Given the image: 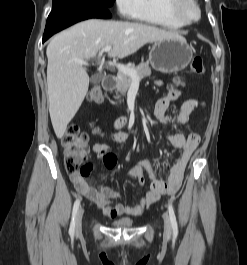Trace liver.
Here are the masks:
<instances>
[{
  "instance_id": "liver-1",
  "label": "liver",
  "mask_w": 247,
  "mask_h": 265,
  "mask_svg": "<svg viewBox=\"0 0 247 265\" xmlns=\"http://www.w3.org/2000/svg\"><path fill=\"white\" fill-rule=\"evenodd\" d=\"M173 37L180 35L142 23L97 19L82 21L55 35L46 54L49 113L56 136H64L88 92L84 66L98 51L110 45L109 57L125 58L147 43Z\"/></svg>"
}]
</instances>
